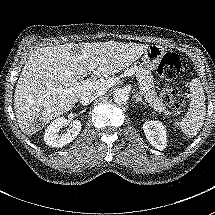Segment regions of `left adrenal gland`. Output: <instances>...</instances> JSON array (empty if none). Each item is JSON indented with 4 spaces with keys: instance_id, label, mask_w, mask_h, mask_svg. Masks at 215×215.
Here are the masks:
<instances>
[{
    "instance_id": "obj_1",
    "label": "left adrenal gland",
    "mask_w": 215,
    "mask_h": 215,
    "mask_svg": "<svg viewBox=\"0 0 215 215\" xmlns=\"http://www.w3.org/2000/svg\"><path fill=\"white\" fill-rule=\"evenodd\" d=\"M134 97H135V99H136V102H142V104L146 106V102L143 101L141 95L136 94V95H134Z\"/></svg>"
}]
</instances>
